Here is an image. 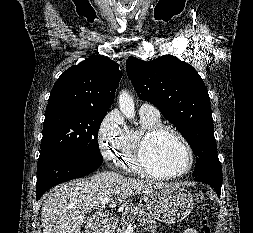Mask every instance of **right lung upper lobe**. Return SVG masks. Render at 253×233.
I'll list each match as a JSON object with an SVG mask.
<instances>
[{"label": "right lung upper lobe", "instance_id": "right-lung-upper-lobe-1", "mask_svg": "<svg viewBox=\"0 0 253 233\" xmlns=\"http://www.w3.org/2000/svg\"><path fill=\"white\" fill-rule=\"evenodd\" d=\"M122 71L119 65L104 56H92L70 67L57 79L48 106L73 105L108 110Z\"/></svg>", "mask_w": 253, "mask_h": 233}]
</instances>
